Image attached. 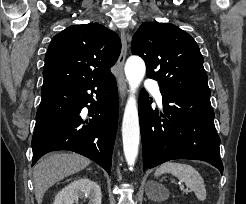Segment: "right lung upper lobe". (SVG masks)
Returning <instances> with one entry per match:
<instances>
[{
	"label": "right lung upper lobe",
	"mask_w": 246,
	"mask_h": 204,
	"mask_svg": "<svg viewBox=\"0 0 246 204\" xmlns=\"http://www.w3.org/2000/svg\"><path fill=\"white\" fill-rule=\"evenodd\" d=\"M121 50L118 35L100 24L70 26L51 41L45 56L43 89L112 76Z\"/></svg>",
	"instance_id": "right-lung-upper-lobe-1"
}]
</instances>
